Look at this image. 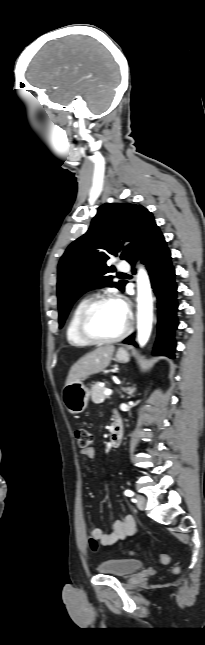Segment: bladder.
<instances>
[{"mask_svg": "<svg viewBox=\"0 0 205 645\" xmlns=\"http://www.w3.org/2000/svg\"><path fill=\"white\" fill-rule=\"evenodd\" d=\"M143 568V562L132 558H112L97 565V571L120 577L135 574Z\"/></svg>", "mask_w": 205, "mask_h": 645, "instance_id": "bladder-1", "label": "bladder"}]
</instances>
